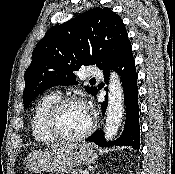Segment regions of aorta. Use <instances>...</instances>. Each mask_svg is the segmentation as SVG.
<instances>
[{"label": "aorta", "instance_id": "1", "mask_svg": "<svg viewBox=\"0 0 175 174\" xmlns=\"http://www.w3.org/2000/svg\"><path fill=\"white\" fill-rule=\"evenodd\" d=\"M124 113V96L122 84L117 73L112 72L108 87V106L105 124V138L113 139L122 122Z\"/></svg>", "mask_w": 175, "mask_h": 174}]
</instances>
